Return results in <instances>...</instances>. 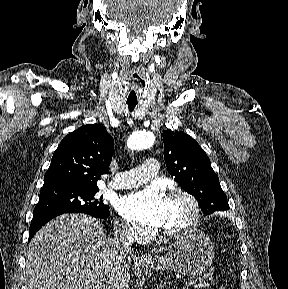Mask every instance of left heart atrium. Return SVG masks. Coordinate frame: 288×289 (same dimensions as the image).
I'll return each mask as SVG.
<instances>
[{"label":"left heart atrium","instance_id":"1","mask_svg":"<svg viewBox=\"0 0 288 289\" xmlns=\"http://www.w3.org/2000/svg\"><path fill=\"white\" fill-rule=\"evenodd\" d=\"M116 208L126 219L158 227L165 221L166 199L156 186L121 197Z\"/></svg>","mask_w":288,"mask_h":289}]
</instances>
